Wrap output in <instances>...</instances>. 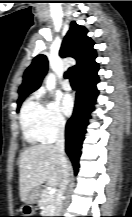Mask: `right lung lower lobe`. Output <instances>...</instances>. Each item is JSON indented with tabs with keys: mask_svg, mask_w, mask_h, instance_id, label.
<instances>
[{
	"mask_svg": "<svg viewBox=\"0 0 132 217\" xmlns=\"http://www.w3.org/2000/svg\"><path fill=\"white\" fill-rule=\"evenodd\" d=\"M98 81V76L86 81H78L73 115L66 124V153L72 161L75 174L78 172L80 150L84 134L86 133L88 119L90 118V112L94 109L93 105L99 93L96 88Z\"/></svg>",
	"mask_w": 132,
	"mask_h": 217,
	"instance_id": "1",
	"label": "right lung lower lobe"
}]
</instances>
